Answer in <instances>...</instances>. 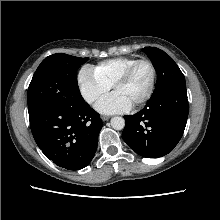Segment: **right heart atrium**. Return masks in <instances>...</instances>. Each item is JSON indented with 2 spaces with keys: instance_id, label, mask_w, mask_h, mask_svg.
Returning a JSON list of instances; mask_svg holds the SVG:
<instances>
[{
  "instance_id": "1",
  "label": "right heart atrium",
  "mask_w": 220,
  "mask_h": 220,
  "mask_svg": "<svg viewBox=\"0 0 220 220\" xmlns=\"http://www.w3.org/2000/svg\"><path fill=\"white\" fill-rule=\"evenodd\" d=\"M79 92L84 101L90 105L95 104L109 91L110 86L101 81L91 67H83L77 77Z\"/></svg>"
}]
</instances>
